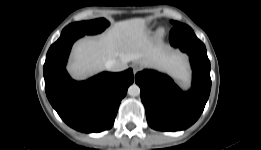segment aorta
<instances>
[{"instance_id":"obj_1","label":"aorta","mask_w":261,"mask_h":150,"mask_svg":"<svg viewBox=\"0 0 261 150\" xmlns=\"http://www.w3.org/2000/svg\"><path fill=\"white\" fill-rule=\"evenodd\" d=\"M128 94L130 96H138L140 95V88L137 84H132L129 88H128Z\"/></svg>"}]
</instances>
